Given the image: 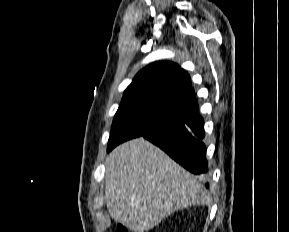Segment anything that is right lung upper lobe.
<instances>
[{"mask_svg":"<svg viewBox=\"0 0 289 232\" xmlns=\"http://www.w3.org/2000/svg\"><path fill=\"white\" fill-rule=\"evenodd\" d=\"M190 77L185 70L168 61L143 68L124 91L122 100H141L183 113L198 109Z\"/></svg>","mask_w":289,"mask_h":232,"instance_id":"cb5924a9","label":"right lung upper lobe"}]
</instances>
